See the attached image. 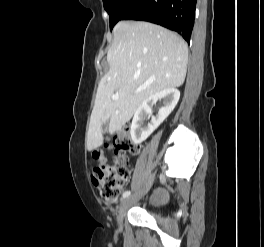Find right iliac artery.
Listing matches in <instances>:
<instances>
[{
    "instance_id": "obj_1",
    "label": "right iliac artery",
    "mask_w": 264,
    "mask_h": 247,
    "mask_svg": "<svg viewBox=\"0 0 264 247\" xmlns=\"http://www.w3.org/2000/svg\"><path fill=\"white\" fill-rule=\"evenodd\" d=\"M130 195V191H125L124 193H123V198H126V197H128Z\"/></svg>"
}]
</instances>
